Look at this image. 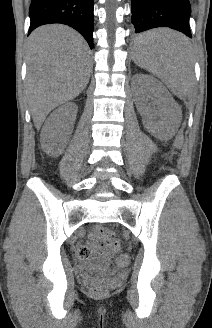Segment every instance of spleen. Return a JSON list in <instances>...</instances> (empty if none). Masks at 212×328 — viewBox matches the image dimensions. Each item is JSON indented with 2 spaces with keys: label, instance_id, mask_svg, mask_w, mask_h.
I'll list each match as a JSON object with an SVG mask.
<instances>
[{
  "label": "spleen",
  "instance_id": "obj_1",
  "mask_svg": "<svg viewBox=\"0 0 212 328\" xmlns=\"http://www.w3.org/2000/svg\"><path fill=\"white\" fill-rule=\"evenodd\" d=\"M139 38L152 45L138 46L134 62L159 77L174 94L190 92L194 86V72L186 37L169 29H159L143 33Z\"/></svg>",
  "mask_w": 212,
  "mask_h": 328
}]
</instances>
